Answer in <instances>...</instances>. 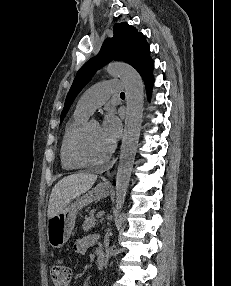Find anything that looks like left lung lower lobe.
Returning a JSON list of instances; mask_svg holds the SVG:
<instances>
[{"instance_id":"left-lung-lower-lobe-1","label":"left lung lower lobe","mask_w":231,"mask_h":286,"mask_svg":"<svg viewBox=\"0 0 231 286\" xmlns=\"http://www.w3.org/2000/svg\"><path fill=\"white\" fill-rule=\"evenodd\" d=\"M153 67H154V63L151 60L146 65H144L141 68V70L139 71L140 75L142 76V78L144 80L148 98H150V93H151L152 85H153V82H154V80L152 78Z\"/></svg>"}]
</instances>
